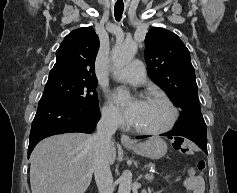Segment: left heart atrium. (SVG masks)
I'll return each mask as SVG.
<instances>
[{
    "label": "left heart atrium",
    "instance_id": "obj_1",
    "mask_svg": "<svg viewBox=\"0 0 237 193\" xmlns=\"http://www.w3.org/2000/svg\"><path fill=\"white\" fill-rule=\"evenodd\" d=\"M113 101L122 109L126 119L133 123L136 119L138 111L142 105V101L133 100L130 103L125 101L124 90L118 89L113 95Z\"/></svg>",
    "mask_w": 237,
    "mask_h": 193
}]
</instances>
